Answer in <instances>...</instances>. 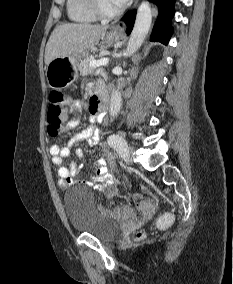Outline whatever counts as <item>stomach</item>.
<instances>
[{
    "label": "stomach",
    "instance_id": "stomach-1",
    "mask_svg": "<svg viewBox=\"0 0 233 284\" xmlns=\"http://www.w3.org/2000/svg\"><path fill=\"white\" fill-rule=\"evenodd\" d=\"M121 39L122 35L113 31L102 36V40L106 43L117 42ZM88 54V50H83L65 57L53 59L46 69V78L49 86L53 89H60L71 85L78 78L79 62Z\"/></svg>",
    "mask_w": 233,
    "mask_h": 284
}]
</instances>
